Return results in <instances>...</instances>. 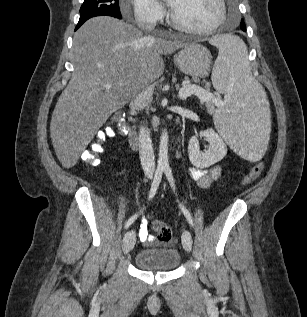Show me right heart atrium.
<instances>
[{"label": "right heart atrium", "instance_id": "obj_1", "mask_svg": "<svg viewBox=\"0 0 307 317\" xmlns=\"http://www.w3.org/2000/svg\"><path fill=\"white\" fill-rule=\"evenodd\" d=\"M132 4V13L135 22L142 26L151 28L159 23L165 16L162 5L156 0H130ZM124 16H128L127 7H122Z\"/></svg>", "mask_w": 307, "mask_h": 317}]
</instances>
